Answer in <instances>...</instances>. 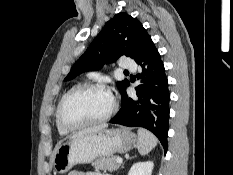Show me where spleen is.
I'll list each match as a JSON object with an SVG mask.
<instances>
[{"instance_id":"spleen-1","label":"spleen","mask_w":233,"mask_h":175,"mask_svg":"<svg viewBox=\"0 0 233 175\" xmlns=\"http://www.w3.org/2000/svg\"><path fill=\"white\" fill-rule=\"evenodd\" d=\"M137 134L138 151L141 155H146L157 145V138L150 131L144 128H139Z\"/></svg>"}]
</instances>
